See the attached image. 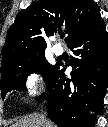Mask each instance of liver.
Instances as JSON below:
<instances>
[{
	"label": "liver",
	"instance_id": "6515ba94",
	"mask_svg": "<svg viewBox=\"0 0 108 127\" xmlns=\"http://www.w3.org/2000/svg\"><path fill=\"white\" fill-rule=\"evenodd\" d=\"M12 127H55V125L44 115L32 113L21 118Z\"/></svg>",
	"mask_w": 108,
	"mask_h": 127
}]
</instances>
